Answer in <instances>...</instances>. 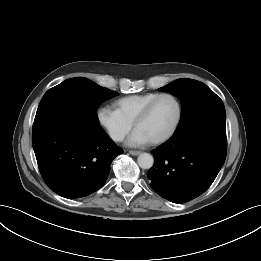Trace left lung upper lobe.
<instances>
[{
    "mask_svg": "<svg viewBox=\"0 0 261 261\" xmlns=\"http://www.w3.org/2000/svg\"><path fill=\"white\" fill-rule=\"evenodd\" d=\"M158 90L176 95L182 103L181 119L173 135L185 134L217 121H226L222 100L202 82L177 79Z\"/></svg>",
    "mask_w": 261,
    "mask_h": 261,
    "instance_id": "obj_1",
    "label": "left lung upper lobe"
}]
</instances>
